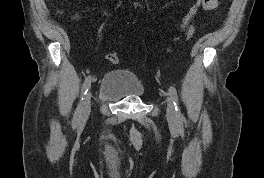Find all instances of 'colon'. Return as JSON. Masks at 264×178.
I'll return each instance as SVG.
<instances>
[{
    "instance_id": "5ec220e1",
    "label": "colon",
    "mask_w": 264,
    "mask_h": 178,
    "mask_svg": "<svg viewBox=\"0 0 264 178\" xmlns=\"http://www.w3.org/2000/svg\"><path fill=\"white\" fill-rule=\"evenodd\" d=\"M208 1L209 0H195L182 16L179 25V32L181 35H184L186 39L190 38L194 32L192 19L201 7L204 8L206 6ZM106 58L111 64H118L120 62V56L115 52L108 53Z\"/></svg>"
}]
</instances>
